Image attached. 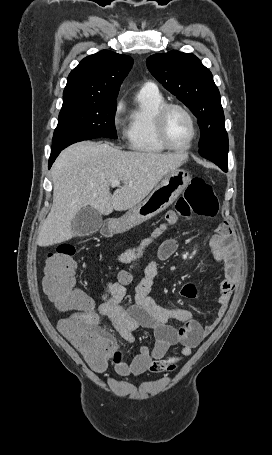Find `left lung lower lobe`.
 Here are the masks:
<instances>
[{
  "label": "left lung lower lobe",
  "instance_id": "obj_1",
  "mask_svg": "<svg viewBox=\"0 0 272 455\" xmlns=\"http://www.w3.org/2000/svg\"><path fill=\"white\" fill-rule=\"evenodd\" d=\"M204 158L214 162L223 171H227L228 150H221L209 153L203 156Z\"/></svg>",
  "mask_w": 272,
  "mask_h": 455
}]
</instances>
